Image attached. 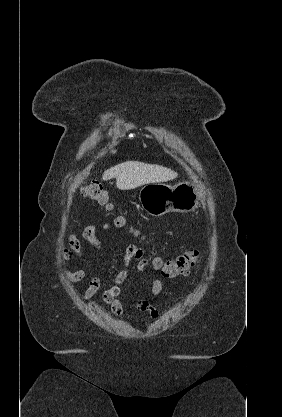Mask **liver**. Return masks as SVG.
<instances>
[{
	"instance_id": "liver-1",
	"label": "liver",
	"mask_w": 282,
	"mask_h": 417,
	"mask_svg": "<svg viewBox=\"0 0 282 417\" xmlns=\"http://www.w3.org/2000/svg\"><path fill=\"white\" fill-rule=\"evenodd\" d=\"M177 172L161 166V164H145L139 160H126L116 166H111L104 170L102 174L103 180L116 178L117 188L128 190V188H136L141 184H149V182H166L176 178Z\"/></svg>"
}]
</instances>
